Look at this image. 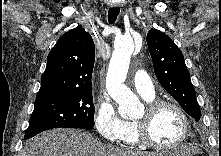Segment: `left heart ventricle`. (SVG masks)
Here are the masks:
<instances>
[{
	"label": "left heart ventricle",
	"mask_w": 221,
	"mask_h": 156,
	"mask_svg": "<svg viewBox=\"0 0 221 156\" xmlns=\"http://www.w3.org/2000/svg\"><path fill=\"white\" fill-rule=\"evenodd\" d=\"M146 116V110L136 119L142 120ZM184 124L176 110L165 107L152 119L149 126L151 138L162 145H173L182 136Z\"/></svg>",
	"instance_id": "1"
}]
</instances>
